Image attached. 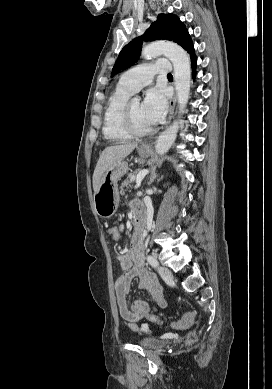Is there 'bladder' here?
Wrapping results in <instances>:
<instances>
[{"instance_id": "obj_1", "label": "bladder", "mask_w": 272, "mask_h": 389, "mask_svg": "<svg viewBox=\"0 0 272 389\" xmlns=\"http://www.w3.org/2000/svg\"><path fill=\"white\" fill-rule=\"evenodd\" d=\"M138 344L145 349L157 350L164 346V341L159 338H144Z\"/></svg>"}]
</instances>
